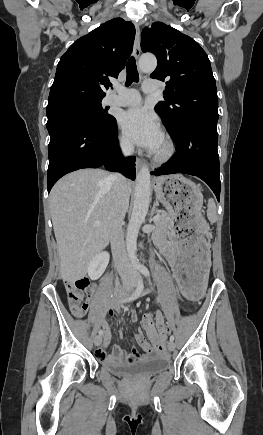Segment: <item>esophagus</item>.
<instances>
[{
    "label": "esophagus",
    "mask_w": 263,
    "mask_h": 435,
    "mask_svg": "<svg viewBox=\"0 0 263 435\" xmlns=\"http://www.w3.org/2000/svg\"><path fill=\"white\" fill-rule=\"evenodd\" d=\"M135 40H134V56L136 59L140 57L141 54V48H140V28L139 24L135 23ZM136 168L140 169L143 166V160L141 158L136 159Z\"/></svg>",
    "instance_id": "1"
}]
</instances>
